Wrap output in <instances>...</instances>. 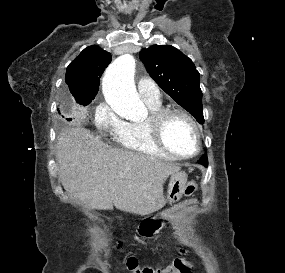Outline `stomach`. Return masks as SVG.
<instances>
[{"instance_id": "1", "label": "stomach", "mask_w": 285, "mask_h": 273, "mask_svg": "<svg viewBox=\"0 0 285 273\" xmlns=\"http://www.w3.org/2000/svg\"><path fill=\"white\" fill-rule=\"evenodd\" d=\"M187 182V174L183 171H175L171 174L168 189L167 201L172 204L180 200ZM159 220L149 219L141 222L138 229L142 235H152L158 233L160 228H156Z\"/></svg>"}]
</instances>
